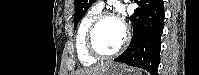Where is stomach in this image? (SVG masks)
Wrapping results in <instances>:
<instances>
[{"label":"stomach","instance_id":"1","mask_svg":"<svg viewBox=\"0 0 199 75\" xmlns=\"http://www.w3.org/2000/svg\"><path fill=\"white\" fill-rule=\"evenodd\" d=\"M104 75H141V72L129 69L122 64H111Z\"/></svg>","mask_w":199,"mask_h":75}]
</instances>
